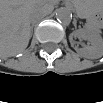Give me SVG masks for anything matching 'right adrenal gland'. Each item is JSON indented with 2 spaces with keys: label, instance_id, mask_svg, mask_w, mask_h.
I'll return each instance as SVG.
<instances>
[{
  "label": "right adrenal gland",
  "instance_id": "2a0ac1e0",
  "mask_svg": "<svg viewBox=\"0 0 103 103\" xmlns=\"http://www.w3.org/2000/svg\"><path fill=\"white\" fill-rule=\"evenodd\" d=\"M31 32H33V25L31 26Z\"/></svg>",
  "mask_w": 103,
  "mask_h": 103
}]
</instances>
